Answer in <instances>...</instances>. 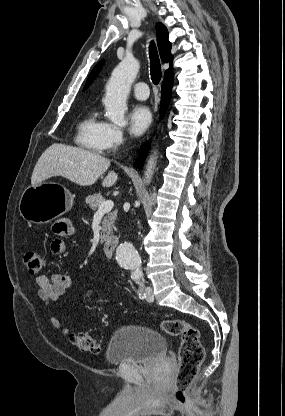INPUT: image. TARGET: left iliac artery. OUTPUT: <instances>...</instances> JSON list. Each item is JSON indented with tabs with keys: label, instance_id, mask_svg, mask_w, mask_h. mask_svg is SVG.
Segmentation results:
<instances>
[{
	"label": "left iliac artery",
	"instance_id": "44dca946",
	"mask_svg": "<svg viewBox=\"0 0 285 416\" xmlns=\"http://www.w3.org/2000/svg\"><path fill=\"white\" fill-rule=\"evenodd\" d=\"M138 283L140 284V287L143 288V282H142V280H139Z\"/></svg>",
	"mask_w": 285,
	"mask_h": 416
}]
</instances>
